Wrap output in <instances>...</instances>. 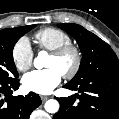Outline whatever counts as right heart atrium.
<instances>
[{
	"label": "right heart atrium",
	"instance_id": "right-heart-atrium-1",
	"mask_svg": "<svg viewBox=\"0 0 119 119\" xmlns=\"http://www.w3.org/2000/svg\"><path fill=\"white\" fill-rule=\"evenodd\" d=\"M12 60L18 71L25 72L33 64L34 53L29 39L22 37L16 41L12 48Z\"/></svg>",
	"mask_w": 119,
	"mask_h": 119
}]
</instances>
